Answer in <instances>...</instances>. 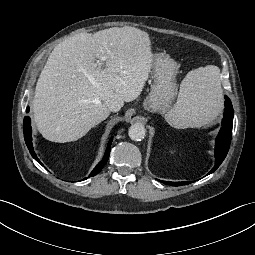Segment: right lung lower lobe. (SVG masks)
<instances>
[{"mask_svg":"<svg viewBox=\"0 0 255 255\" xmlns=\"http://www.w3.org/2000/svg\"><path fill=\"white\" fill-rule=\"evenodd\" d=\"M28 111H29V107H27V109H26V112H28ZM23 132H24V138H25L26 145H27L32 157L43 166V164L39 161V159L37 158V156H36V154L33 150L32 137H31V125H30V118L29 117L24 118ZM111 143H112V138L108 142L107 149H106V152H105V155H104L103 159L101 160V162H99V164L91 172L89 177H93L97 173H99L102 170V168L105 166V164L107 163V161L109 159V153H110V150H111ZM85 179H87V177L84 178L83 180H85Z\"/></svg>","mask_w":255,"mask_h":255,"instance_id":"right-lung-lower-lobe-1","label":"right lung lower lobe"}]
</instances>
